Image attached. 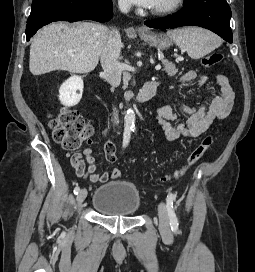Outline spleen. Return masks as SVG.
<instances>
[{"mask_svg":"<svg viewBox=\"0 0 255 272\" xmlns=\"http://www.w3.org/2000/svg\"><path fill=\"white\" fill-rule=\"evenodd\" d=\"M167 36L192 59H199L220 46V39L200 27H184L167 31Z\"/></svg>","mask_w":255,"mask_h":272,"instance_id":"3e777b00","label":"spleen"}]
</instances>
